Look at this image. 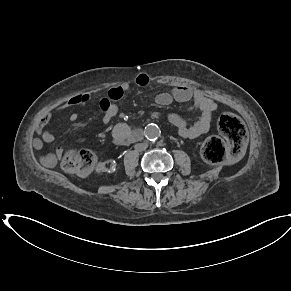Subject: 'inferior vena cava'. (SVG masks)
<instances>
[{"label": "inferior vena cava", "mask_w": 291, "mask_h": 291, "mask_svg": "<svg viewBox=\"0 0 291 291\" xmlns=\"http://www.w3.org/2000/svg\"><path fill=\"white\" fill-rule=\"evenodd\" d=\"M147 147H148V145H147L146 143H140V144H136V145H135V148H136L138 151H143V150H145Z\"/></svg>", "instance_id": "602c4592"}]
</instances>
